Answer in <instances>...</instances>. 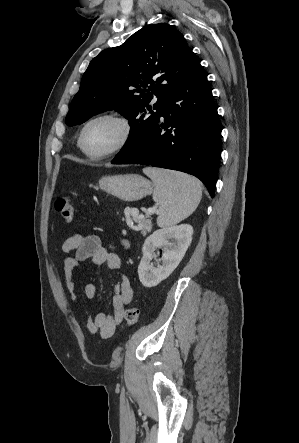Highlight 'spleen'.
Listing matches in <instances>:
<instances>
[{"label": "spleen", "instance_id": "1", "mask_svg": "<svg viewBox=\"0 0 299 443\" xmlns=\"http://www.w3.org/2000/svg\"><path fill=\"white\" fill-rule=\"evenodd\" d=\"M143 172L154 183L153 199L159 205L158 226H174L197 208L202 196V187L197 179L152 167L144 168Z\"/></svg>", "mask_w": 299, "mask_h": 443}]
</instances>
